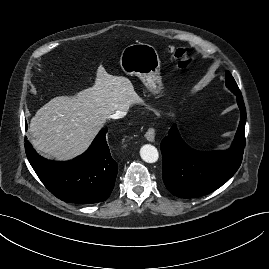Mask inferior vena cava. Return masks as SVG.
<instances>
[{
    "mask_svg": "<svg viewBox=\"0 0 269 269\" xmlns=\"http://www.w3.org/2000/svg\"><path fill=\"white\" fill-rule=\"evenodd\" d=\"M126 115V112L125 111H116L114 114L111 115V118L113 119H119V118H122Z\"/></svg>",
    "mask_w": 269,
    "mask_h": 269,
    "instance_id": "1",
    "label": "inferior vena cava"
}]
</instances>
